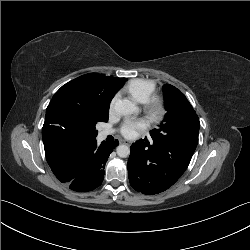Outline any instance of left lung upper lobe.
<instances>
[{
	"label": "left lung upper lobe",
	"instance_id": "5c2ea615",
	"mask_svg": "<svg viewBox=\"0 0 250 250\" xmlns=\"http://www.w3.org/2000/svg\"><path fill=\"white\" fill-rule=\"evenodd\" d=\"M163 94L167 113L159 128L150 132L153 140H165L173 136L198 134L200 122L192 105L176 87L166 84Z\"/></svg>",
	"mask_w": 250,
	"mask_h": 250
}]
</instances>
